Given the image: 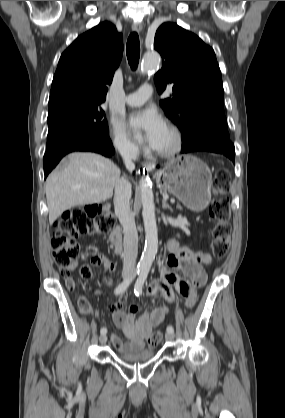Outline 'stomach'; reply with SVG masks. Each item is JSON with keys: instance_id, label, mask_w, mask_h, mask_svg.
<instances>
[{"instance_id": "stomach-1", "label": "stomach", "mask_w": 285, "mask_h": 418, "mask_svg": "<svg viewBox=\"0 0 285 418\" xmlns=\"http://www.w3.org/2000/svg\"><path fill=\"white\" fill-rule=\"evenodd\" d=\"M161 190L174 195L192 211H202L210 203L212 174L209 167L193 155L169 161L156 174Z\"/></svg>"}]
</instances>
